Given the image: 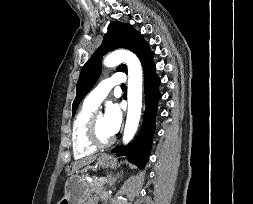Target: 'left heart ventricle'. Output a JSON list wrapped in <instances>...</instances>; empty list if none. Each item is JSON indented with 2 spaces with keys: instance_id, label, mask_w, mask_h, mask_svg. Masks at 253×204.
<instances>
[{
  "instance_id": "1",
  "label": "left heart ventricle",
  "mask_w": 253,
  "mask_h": 204,
  "mask_svg": "<svg viewBox=\"0 0 253 204\" xmlns=\"http://www.w3.org/2000/svg\"><path fill=\"white\" fill-rule=\"evenodd\" d=\"M96 128L97 133L101 139H107L112 135L107 131L104 121V116L101 114L96 115Z\"/></svg>"
}]
</instances>
